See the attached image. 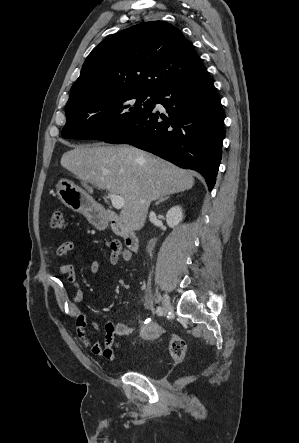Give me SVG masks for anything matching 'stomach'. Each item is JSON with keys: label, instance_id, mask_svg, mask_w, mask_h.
<instances>
[{"label": "stomach", "instance_id": "obj_1", "mask_svg": "<svg viewBox=\"0 0 299 443\" xmlns=\"http://www.w3.org/2000/svg\"><path fill=\"white\" fill-rule=\"evenodd\" d=\"M61 202L75 212L82 213L97 228H105L107 220L97 211V204L82 188L67 179H61L56 185Z\"/></svg>", "mask_w": 299, "mask_h": 443}]
</instances>
